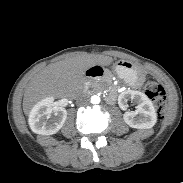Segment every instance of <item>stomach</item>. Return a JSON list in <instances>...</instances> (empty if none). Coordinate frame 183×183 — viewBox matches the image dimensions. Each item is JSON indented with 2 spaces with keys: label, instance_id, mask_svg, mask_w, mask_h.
Masks as SVG:
<instances>
[{
  "label": "stomach",
  "instance_id": "0dacf381",
  "mask_svg": "<svg viewBox=\"0 0 183 183\" xmlns=\"http://www.w3.org/2000/svg\"><path fill=\"white\" fill-rule=\"evenodd\" d=\"M114 70L130 86H140L145 79V71L127 60L117 61Z\"/></svg>",
  "mask_w": 183,
  "mask_h": 183
}]
</instances>
